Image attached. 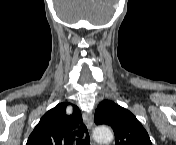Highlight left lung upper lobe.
I'll use <instances>...</instances> for the list:
<instances>
[{
	"label": "left lung upper lobe",
	"mask_w": 176,
	"mask_h": 145,
	"mask_svg": "<svg viewBox=\"0 0 176 145\" xmlns=\"http://www.w3.org/2000/svg\"><path fill=\"white\" fill-rule=\"evenodd\" d=\"M96 124H107L114 130L116 145H152L149 135L127 109L104 100L95 111Z\"/></svg>",
	"instance_id": "1"
}]
</instances>
